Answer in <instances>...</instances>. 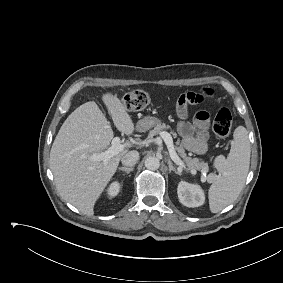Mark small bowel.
I'll return each instance as SVG.
<instances>
[{"instance_id":"1","label":"small bowel","mask_w":283,"mask_h":283,"mask_svg":"<svg viewBox=\"0 0 283 283\" xmlns=\"http://www.w3.org/2000/svg\"><path fill=\"white\" fill-rule=\"evenodd\" d=\"M206 98L196 92H188L179 97L177 101V114L180 121L177 130L182 138L185 148L196 154H204L207 150L209 138V115L205 111L195 114L193 122L187 120L188 107L204 102Z\"/></svg>"}]
</instances>
